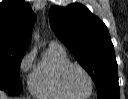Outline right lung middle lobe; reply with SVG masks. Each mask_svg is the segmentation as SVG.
Returning a JSON list of instances; mask_svg holds the SVG:
<instances>
[{
	"label": "right lung middle lobe",
	"mask_w": 128,
	"mask_h": 99,
	"mask_svg": "<svg viewBox=\"0 0 128 99\" xmlns=\"http://www.w3.org/2000/svg\"><path fill=\"white\" fill-rule=\"evenodd\" d=\"M25 52L0 51V90L18 95L23 91L20 64Z\"/></svg>",
	"instance_id": "right-lung-middle-lobe-1"
}]
</instances>
